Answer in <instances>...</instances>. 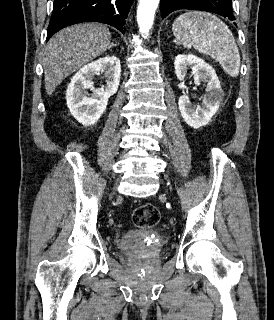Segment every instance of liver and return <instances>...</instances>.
Wrapping results in <instances>:
<instances>
[{"label": "liver", "instance_id": "obj_1", "mask_svg": "<svg viewBox=\"0 0 274 320\" xmlns=\"http://www.w3.org/2000/svg\"><path fill=\"white\" fill-rule=\"evenodd\" d=\"M111 46V34L104 24H75L55 34L45 46L43 68L47 96L67 76L92 62Z\"/></svg>", "mask_w": 274, "mask_h": 320}]
</instances>
